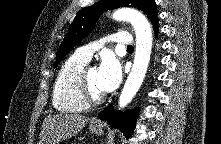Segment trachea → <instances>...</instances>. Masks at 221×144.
<instances>
[{"mask_svg":"<svg viewBox=\"0 0 221 144\" xmlns=\"http://www.w3.org/2000/svg\"><path fill=\"white\" fill-rule=\"evenodd\" d=\"M127 49L133 50V46H132V45H129V46H127Z\"/></svg>","mask_w":221,"mask_h":144,"instance_id":"1","label":"trachea"}]
</instances>
